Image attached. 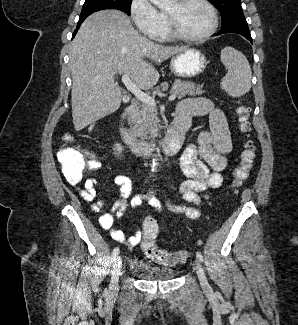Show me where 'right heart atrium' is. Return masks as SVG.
Here are the masks:
<instances>
[{"instance_id":"d8ad5b80","label":"right heart atrium","mask_w":298,"mask_h":325,"mask_svg":"<svg viewBox=\"0 0 298 325\" xmlns=\"http://www.w3.org/2000/svg\"><path fill=\"white\" fill-rule=\"evenodd\" d=\"M131 16L142 37L147 41H165L166 19L151 0H134L131 4Z\"/></svg>"}]
</instances>
